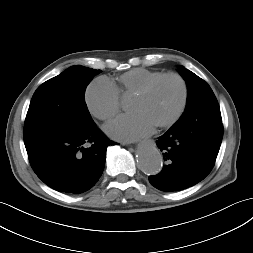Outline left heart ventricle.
Segmentation results:
<instances>
[{
    "instance_id": "b2bd125f",
    "label": "left heart ventricle",
    "mask_w": 253,
    "mask_h": 253,
    "mask_svg": "<svg viewBox=\"0 0 253 253\" xmlns=\"http://www.w3.org/2000/svg\"><path fill=\"white\" fill-rule=\"evenodd\" d=\"M182 89L173 78L160 81L145 97L133 98L130 110L144 114L155 126L170 119L181 101Z\"/></svg>"
}]
</instances>
